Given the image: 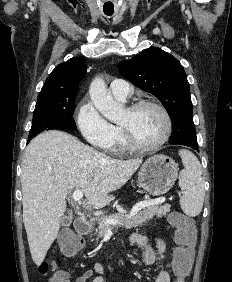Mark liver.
Masks as SVG:
<instances>
[{
    "mask_svg": "<svg viewBox=\"0 0 232 282\" xmlns=\"http://www.w3.org/2000/svg\"><path fill=\"white\" fill-rule=\"evenodd\" d=\"M141 163V158L108 157L59 130L35 137L25 150L21 172L23 223L34 263L43 262L56 239L71 189H81L93 207L102 208Z\"/></svg>",
    "mask_w": 232,
    "mask_h": 282,
    "instance_id": "6515ba94",
    "label": "liver"
}]
</instances>
